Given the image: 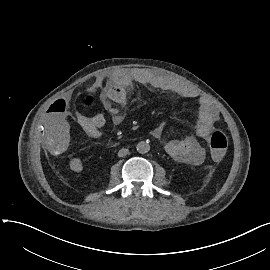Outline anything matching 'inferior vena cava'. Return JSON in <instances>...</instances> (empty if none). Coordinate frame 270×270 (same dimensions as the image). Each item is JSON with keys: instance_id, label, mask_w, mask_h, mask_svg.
<instances>
[{"instance_id": "1", "label": "inferior vena cava", "mask_w": 270, "mask_h": 270, "mask_svg": "<svg viewBox=\"0 0 270 270\" xmlns=\"http://www.w3.org/2000/svg\"><path fill=\"white\" fill-rule=\"evenodd\" d=\"M128 153H129V150H128V149H121V150H119V152H118V156H119V157H124V156H126Z\"/></svg>"}]
</instances>
